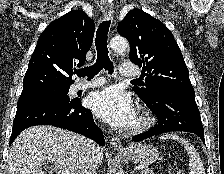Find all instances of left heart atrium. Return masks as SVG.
I'll list each match as a JSON object with an SVG mask.
<instances>
[{
  "instance_id": "obj_1",
  "label": "left heart atrium",
  "mask_w": 224,
  "mask_h": 174,
  "mask_svg": "<svg viewBox=\"0 0 224 174\" xmlns=\"http://www.w3.org/2000/svg\"><path fill=\"white\" fill-rule=\"evenodd\" d=\"M88 105L99 118L114 127L127 128L136 118L132 99L117 87L93 92Z\"/></svg>"
}]
</instances>
